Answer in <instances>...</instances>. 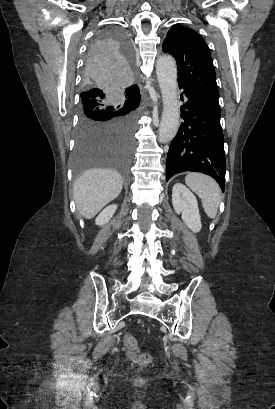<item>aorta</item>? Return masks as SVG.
Returning <instances> with one entry per match:
<instances>
[{
  "label": "aorta",
  "instance_id": "aorta-1",
  "mask_svg": "<svg viewBox=\"0 0 275 409\" xmlns=\"http://www.w3.org/2000/svg\"><path fill=\"white\" fill-rule=\"evenodd\" d=\"M156 74L161 88L163 112L159 126V142H170L179 128L180 108L177 100V68L173 56H158Z\"/></svg>",
  "mask_w": 275,
  "mask_h": 409
}]
</instances>
